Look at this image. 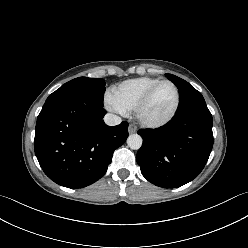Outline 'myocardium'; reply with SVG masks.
<instances>
[{"label":"myocardium","instance_id":"1","mask_svg":"<svg viewBox=\"0 0 248 248\" xmlns=\"http://www.w3.org/2000/svg\"><path fill=\"white\" fill-rule=\"evenodd\" d=\"M164 84H169L173 87L175 91V104L174 107L171 111V113L164 118L163 120L160 121H149L143 117V110L146 107L148 101L150 100L151 96L153 93L156 91L157 88H159L161 85ZM180 106V92L178 87L170 80H160L159 82L155 83L153 86H151L140 98L138 101L134 112H135V117L137 121L145 128L148 129H159L162 128L166 125H168L176 116Z\"/></svg>","mask_w":248,"mask_h":248}]
</instances>
